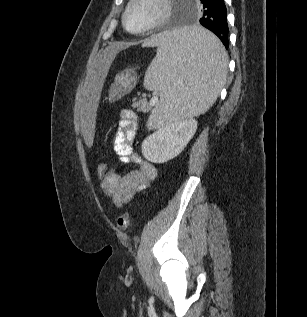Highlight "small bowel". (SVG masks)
<instances>
[{"mask_svg":"<svg viewBox=\"0 0 307 317\" xmlns=\"http://www.w3.org/2000/svg\"><path fill=\"white\" fill-rule=\"evenodd\" d=\"M137 126L136 114L130 109L122 110L119 127L113 135L114 150L122 164L133 163L137 168L129 174L122 175L112 167L101 179L102 191L116 207H122L130 202L157 176L155 166L142 160L132 149Z\"/></svg>","mask_w":307,"mask_h":317,"instance_id":"1","label":"small bowel"}]
</instances>
